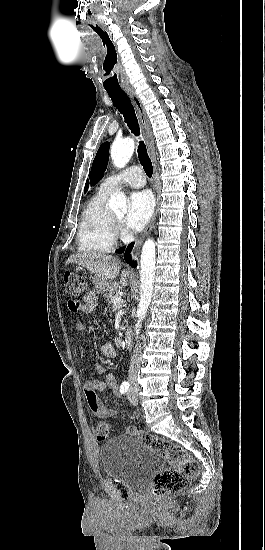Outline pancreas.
<instances>
[{"label":"pancreas","mask_w":265,"mask_h":550,"mask_svg":"<svg viewBox=\"0 0 265 550\" xmlns=\"http://www.w3.org/2000/svg\"><path fill=\"white\" fill-rule=\"evenodd\" d=\"M120 290H121V287L117 283H114L112 286L106 289L104 293V297L108 305L113 302L114 297L119 296Z\"/></svg>","instance_id":"obj_1"}]
</instances>
